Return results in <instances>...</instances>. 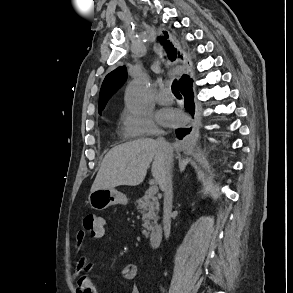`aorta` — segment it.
Listing matches in <instances>:
<instances>
[{
  "label": "aorta",
  "instance_id": "obj_1",
  "mask_svg": "<svg viewBox=\"0 0 293 293\" xmlns=\"http://www.w3.org/2000/svg\"><path fill=\"white\" fill-rule=\"evenodd\" d=\"M147 94V83L143 78L133 80L126 90V103L127 106L136 111L144 108Z\"/></svg>",
  "mask_w": 293,
  "mask_h": 293
}]
</instances>
